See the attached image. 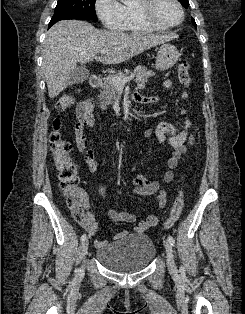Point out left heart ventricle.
Returning a JSON list of instances; mask_svg holds the SVG:
<instances>
[{
  "instance_id": "left-heart-ventricle-1",
  "label": "left heart ventricle",
  "mask_w": 245,
  "mask_h": 314,
  "mask_svg": "<svg viewBox=\"0 0 245 314\" xmlns=\"http://www.w3.org/2000/svg\"><path fill=\"white\" fill-rule=\"evenodd\" d=\"M154 12L164 22L174 24L181 21V12L173 0H158Z\"/></svg>"
}]
</instances>
